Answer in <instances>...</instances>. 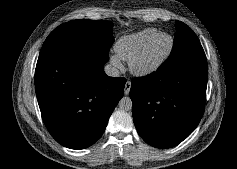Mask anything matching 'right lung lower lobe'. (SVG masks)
Masks as SVG:
<instances>
[{"mask_svg": "<svg viewBox=\"0 0 237 169\" xmlns=\"http://www.w3.org/2000/svg\"><path fill=\"white\" fill-rule=\"evenodd\" d=\"M108 51L88 45L42 48L35 89L43 121L61 145L84 149L103 134L123 96L124 78L103 70Z\"/></svg>", "mask_w": 237, "mask_h": 169, "instance_id": "1", "label": "right lung lower lobe"}]
</instances>
